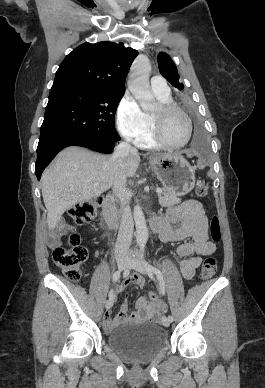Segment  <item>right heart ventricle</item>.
I'll list each match as a JSON object with an SVG mask.
<instances>
[{
    "instance_id": "right-heart-ventricle-1",
    "label": "right heart ventricle",
    "mask_w": 265,
    "mask_h": 388,
    "mask_svg": "<svg viewBox=\"0 0 265 388\" xmlns=\"http://www.w3.org/2000/svg\"><path fill=\"white\" fill-rule=\"evenodd\" d=\"M154 97L156 98L158 105L160 103H171L172 102V98H171L168 91H155ZM148 116L150 119V127H149L148 131L146 132V134L137 140V144L141 148L152 149V148H157L159 145H158V143L155 140L154 135H153L151 116L150 115H148Z\"/></svg>"
}]
</instances>
